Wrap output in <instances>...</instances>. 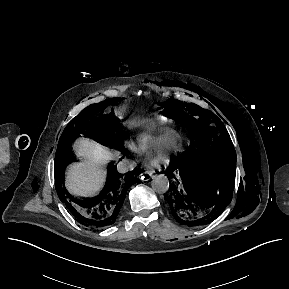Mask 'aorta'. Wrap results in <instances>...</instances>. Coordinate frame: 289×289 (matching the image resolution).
Here are the masks:
<instances>
[{
  "mask_svg": "<svg viewBox=\"0 0 289 289\" xmlns=\"http://www.w3.org/2000/svg\"><path fill=\"white\" fill-rule=\"evenodd\" d=\"M152 189L157 193H165L169 189L168 178L164 175H158L154 177L151 182Z\"/></svg>",
  "mask_w": 289,
  "mask_h": 289,
  "instance_id": "1",
  "label": "aorta"
}]
</instances>
